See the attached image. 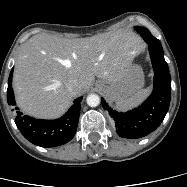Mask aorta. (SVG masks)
I'll use <instances>...</instances> for the list:
<instances>
[{
	"instance_id": "aorta-1",
	"label": "aorta",
	"mask_w": 187,
	"mask_h": 187,
	"mask_svg": "<svg viewBox=\"0 0 187 187\" xmlns=\"http://www.w3.org/2000/svg\"><path fill=\"white\" fill-rule=\"evenodd\" d=\"M86 102L90 107H96L100 104V97L97 94H89Z\"/></svg>"
}]
</instances>
